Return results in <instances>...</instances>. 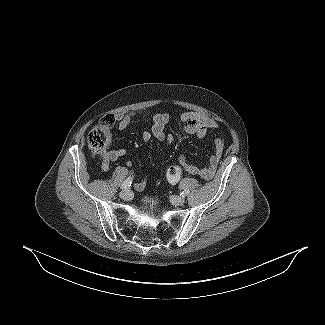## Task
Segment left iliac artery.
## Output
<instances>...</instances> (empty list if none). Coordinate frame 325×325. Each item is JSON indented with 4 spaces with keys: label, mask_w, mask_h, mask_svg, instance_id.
Instances as JSON below:
<instances>
[{
    "label": "left iliac artery",
    "mask_w": 325,
    "mask_h": 325,
    "mask_svg": "<svg viewBox=\"0 0 325 325\" xmlns=\"http://www.w3.org/2000/svg\"><path fill=\"white\" fill-rule=\"evenodd\" d=\"M188 194H189V191L188 190H184L180 195H182L184 197V196H187Z\"/></svg>",
    "instance_id": "44dca946"
}]
</instances>
